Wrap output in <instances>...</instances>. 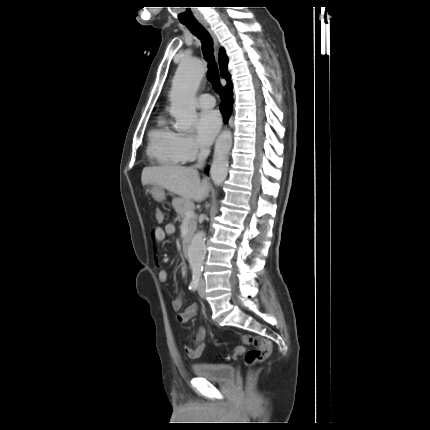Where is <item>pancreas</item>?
Returning a JSON list of instances; mask_svg holds the SVG:
<instances>
[{
    "instance_id": "pancreas-1",
    "label": "pancreas",
    "mask_w": 430,
    "mask_h": 430,
    "mask_svg": "<svg viewBox=\"0 0 430 430\" xmlns=\"http://www.w3.org/2000/svg\"><path fill=\"white\" fill-rule=\"evenodd\" d=\"M172 206L178 214V219L185 218V212L190 209H194V205L191 201L185 200L183 198H174L172 201ZM197 224L196 216L190 219L189 231H191Z\"/></svg>"
}]
</instances>
